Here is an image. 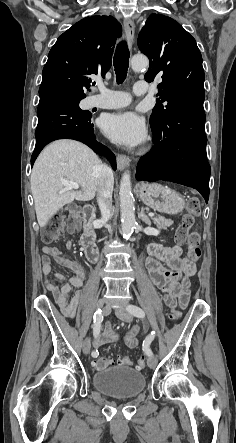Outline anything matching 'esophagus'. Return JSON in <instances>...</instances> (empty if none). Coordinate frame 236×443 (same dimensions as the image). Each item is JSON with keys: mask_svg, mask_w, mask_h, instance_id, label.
<instances>
[{"mask_svg": "<svg viewBox=\"0 0 236 443\" xmlns=\"http://www.w3.org/2000/svg\"><path fill=\"white\" fill-rule=\"evenodd\" d=\"M124 30H125V33L127 36L128 45H129V47H131L133 44L134 36H135V27H134V23L131 19L124 20ZM129 164H130V159L128 156H126L124 154L117 155V168L120 171H122L126 167H128Z\"/></svg>", "mask_w": 236, "mask_h": 443, "instance_id": "34e87169", "label": "esophagus"}]
</instances>
